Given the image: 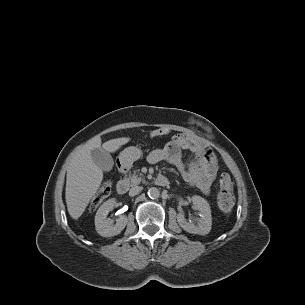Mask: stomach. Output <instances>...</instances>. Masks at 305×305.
Wrapping results in <instances>:
<instances>
[{"label": "stomach", "instance_id": "0dacf381", "mask_svg": "<svg viewBox=\"0 0 305 305\" xmlns=\"http://www.w3.org/2000/svg\"><path fill=\"white\" fill-rule=\"evenodd\" d=\"M141 156H142V151L140 148L135 146H130L124 149L120 153L118 160L121 166L128 168L133 164L134 161L140 159Z\"/></svg>", "mask_w": 305, "mask_h": 305}]
</instances>
